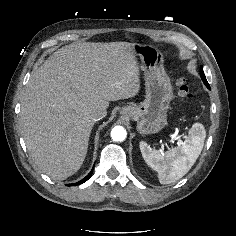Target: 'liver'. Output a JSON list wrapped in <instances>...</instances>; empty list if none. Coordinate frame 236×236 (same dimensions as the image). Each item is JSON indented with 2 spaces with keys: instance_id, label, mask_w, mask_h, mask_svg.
<instances>
[{
  "instance_id": "obj_1",
  "label": "liver",
  "mask_w": 236,
  "mask_h": 236,
  "mask_svg": "<svg viewBox=\"0 0 236 236\" xmlns=\"http://www.w3.org/2000/svg\"><path fill=\"white\" fill-rule=\"evenodd\" d=\"M134 44L68 45L54 52L26 85L20 124L28 152L48 176L64 180L87 154L94 126L90 112L140 91Z\"/></svg>"
}]
</instances>
